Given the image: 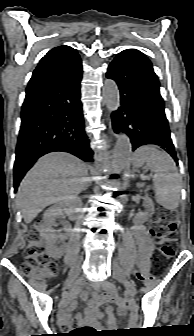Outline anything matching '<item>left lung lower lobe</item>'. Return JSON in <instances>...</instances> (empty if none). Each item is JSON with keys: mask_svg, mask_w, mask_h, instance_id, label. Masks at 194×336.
<instances>
[{"mask_svg": "<svg viewBox=\"0 0 194 336\" xmlns=\"http://www.w3.org/2000/svg\"><path fill=\"white\" fill-rule=\"evenodd\" d=\"M106 77L120 90L121 106L112 114L115 132L130 138L133 151L141 145H159L178 164L159 81L147 57L135 49L124 50L110 63Z\"/></svg>", "mask_w": 194, "mask_h": 336, "instance_id": "0a47b994", "label": "left lung lower lobe"}]
</instances>
